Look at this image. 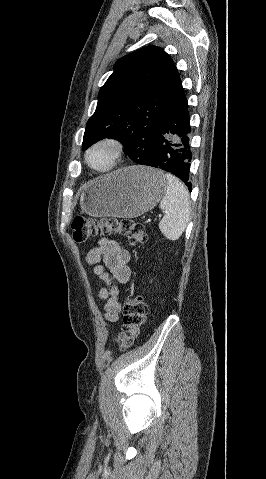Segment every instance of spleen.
I'll use <instances>...</instances> for the list:
<instances>
[{
  "instance_id": "3e777b00",
  "label": "spleen",
  "mask_w": 266,
  "mask_h": 479,
  "mask_svg": "<svg viewBox=\"0 0 266 479\" xmlns=\"http://www.w3.org/2000/svg\"><path fill=\"white\" fill-rule=\"evenodd\" d=\"M165 177L167 187L160 202V209L165 215L159 222V229L168 240L175 241L181 237L190 220V200L185 185L178 178L170 173Z\"/></svg>"
}]
</instances>
